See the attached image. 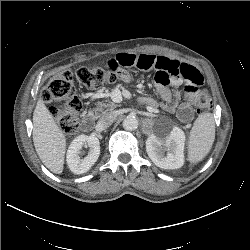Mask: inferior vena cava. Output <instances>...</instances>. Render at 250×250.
Returning a JSON list of instances; mask_svg holds the SVG:
<instances>
[{"label": "inferior vena cava", "mask_w": 250, "mask_h": 250, "mask_svg": "<svg viewBox=\"0 0 250 250\" xmlns=\"http://www.w3.org/2000/svg\"><path fill=\"white\" fill-rule=\"evenodd\" d=\"M116 118L114 112L104 113L97 122V127L101 130L108 128Z\"/></svg>", "instance_id": "obj_1"}]
</instances>
